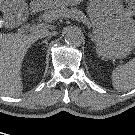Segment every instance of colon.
<instances>
[{
    "label": "colon",
    "mask_w": 135,
    "mask_h": 135,
    "mask_svg": "<svg viewBox=\"0 0 135 135\" xmlns=\"http://www.w3.org/2000/svg\"><path fill=\"white\" fill-rule=\"evenodd\" d=\"M125 6L127 13L135 16V0H125Z\"/></svg>",
    "instance_id": "1"
}]
</instances>
